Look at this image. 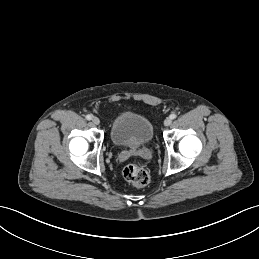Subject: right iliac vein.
I'll use <instances>...</instances> for the list:
<instances>
[{"label":"right iliac vein","mask_w":259,"mask_h":259,"mask_svg":"<svg viewBox=\"0 0 259 259\" xmlns=\"http://www.w3.org/2000/svg\"><path fill=\"white\" fill-rule=\"evenodd\" d=\"M92 122H93L94 125H99V124H100V120H99V118L96 117V116H94V117L92 118Z\"/></svg>","instance_id":"obj_1"}]
</instances>
